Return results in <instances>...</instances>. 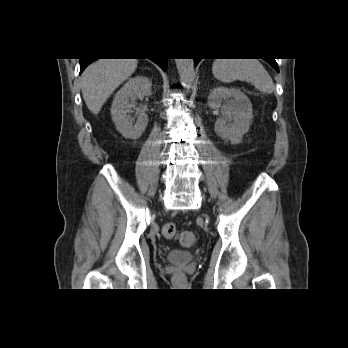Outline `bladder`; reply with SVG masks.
Returning a JSON list of instances; mask_svg holds the SVG:
<instances>
[{
    "label": "bladder",
    "mask_w": 348,
    "mask_h": 348,
    "mask_svg": "<svg viewBox=\"0 0 348 348\" xmlns=\"http://www.w3.org/2000/svg\"><path fill=\"white\" fill-rule=\"evenodd\" d=\"M195 258L193 252L186 250L173 249L168 252L166 259L172 263H187L192 261Z\"/></svg>",
    "instance_id": "bladder-1"
}]
</instances>
